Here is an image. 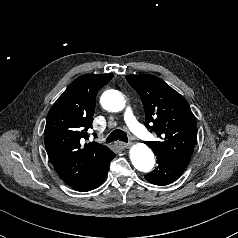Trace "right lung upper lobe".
I'll return each mask as SVG.
<instances>
[{
    "label": "right lung upper lobe",
    "mask_w": 238,
    "mask_h": 238,
    "mask_svg": "<svg viewBox=\"0 0 238 238\" xmlns=\"http://www.w3.org/2000/svg\"><path fill=\"white\" fill-rule=\"evenodd\" d=\"M113 74H85L75 79L49 110L44 140L48 157L69 186L88 176L113 152L96 142L83 144L92 128L98 90Z\"/></svg>",
    "instance_id": "obj_1"
}]
</instances>
